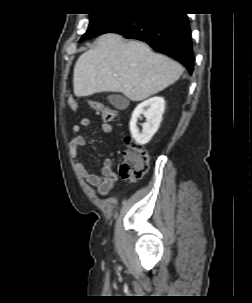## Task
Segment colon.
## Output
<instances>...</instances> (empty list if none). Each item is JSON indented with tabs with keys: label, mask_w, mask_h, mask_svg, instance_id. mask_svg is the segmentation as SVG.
<instances>
[{
	"label": "colon",
	"mask_w": 252,
	"mask_h": 303,
	"mask_svg": "<svg viewBox=\"0 0 252 303\" xmlns=\"http://www.w3.org/2000/svg\"><path fill=\"white\" fill-rule=\"evenodd\" d=\"M68 104L72 111L78 109L77 101L74 97L68 98ZM91 108L101 114L102 120L105 123L113 121L116 116V110L110 107L104 106L99 101H92ZM128 148L124 152V159L120 165V175L129 180L139 179L148 169V154L137 143L129 140Z\"/></svg>",
	"instance_id": "obj_1"
}]
</instances>
